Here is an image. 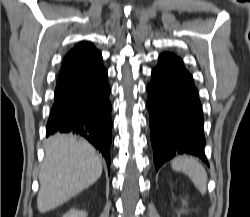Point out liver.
<instances>
[{"instance_id":"liver-1","label":"liver","mask_w":250,"mask_h":217,"mask_svg":"<svg viewBox=\"0 0 250 217\" xmlns=\"http://www.w3.org/2000/svg\"><path fill=\"white\" fill-rule=\"evenodd\" d=\"M101 174V160L87 141L63 134L50 137L39 174L38 210L44 213L60 206L95 183Z\"/></svg>"}]
</instances>
